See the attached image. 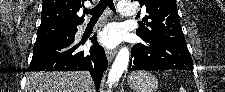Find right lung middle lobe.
<instances>
[{
  "label": "right lung middle lobe",
  "mask_w": 225,
  "mask_h": 92,
  "mask_svg": "<svg viewBox=\"0 0 225 92\" xmlns=\"http://www.w3.org/2000/svg\"><path fill=\"white\" fill-rule=\"evenodd\" d=\"M76 31L77 26L71 25L40 26L34 46L69 39L75 35Z\"/></svg>",
  "instance_id": "dd1d6c3e"
}]
</instances>
